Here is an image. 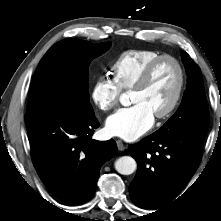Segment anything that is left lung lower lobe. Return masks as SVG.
<instances>
[{"label": "left lung lower lobe", "mask_w": 221, "mask_h": 221, "mask_svg": "<svg viewBox=\"0 0 221 221\" xmlns=\"http://www.w3.org/2000/svg\"><path fill=\"white\" fill-rule=\"evenodd\" d=\"M205 136L194 132L153 133L138 145L129 146L138 164L129 186L132 202L143 209H157L173 201L201 161Z\"/></svg>", "instance_id": "0a47b994"}]
</instances>
